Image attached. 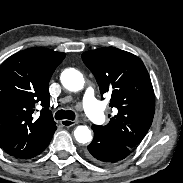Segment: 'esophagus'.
<instances>
[{
    "mask_svg": "<svg viewBox=\"0 0 183 183\" xmlns=\"http://www.w3.org/2000/svg\"><path fill=\"white\" fill-rule=\"evenodd\" d=\"M60 124H61L63 127H72V126H74V125L77 124V121L65 119V120H62V121L60 122Z\"/></svg>",
    "mask_w": 183,
    "mask_h": 183,
    "instance_id": "esophagus-1",
    "label": "esophagus"
}]
</instances>
